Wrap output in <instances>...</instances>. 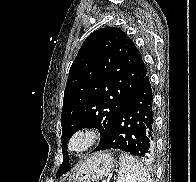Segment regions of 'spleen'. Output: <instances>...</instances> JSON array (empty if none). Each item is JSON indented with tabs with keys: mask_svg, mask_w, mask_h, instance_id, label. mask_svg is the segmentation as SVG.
<instances>
[{
	"mask_svg": "<svg viewBox=\"0 0 196 182\" xmlns=\"http://www.w3.org/2000/svg\"><path fill=\"white\" fill-rule=\"evenodd\" d=\"M119 165L117 182H151L146 169L132 155L122 153Z\"/></svg>",
	"mask_w": 196,
	"mask_h": 182,
	"instance_id": "3e777b00",
	"label": "spleen"
}]
</instances>
